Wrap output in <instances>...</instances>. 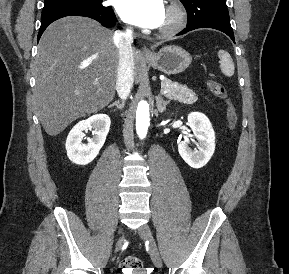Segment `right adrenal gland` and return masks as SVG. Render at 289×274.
<instances>
[{
	"label": "right adrenal gland",
	"instance_id": "2a0ac1e0",
	"mask_svg": "<svg viewBox=\"0 0 289 274\" xmlns=\"http://www.w3.org/2000/svg\"><path fill=\"white\" fill-rule=\"evenodd\" d=\"M116 107L117 109H122L124 107V102L115 101L114 103L110 104L108 108Z\"/></svg>",
	"mask_w": 289,
	"mask_h": 274
}]
</instances>
